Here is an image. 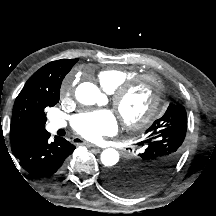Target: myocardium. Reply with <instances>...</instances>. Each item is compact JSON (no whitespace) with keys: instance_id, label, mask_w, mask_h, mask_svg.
<instances>
[{"instance_id":"myocardium-1","label":"myocardium","mask_w":216,"mask_h":216,"mask_svg":"<svg viewBox=\"0 0 216 216\" xmlns=\"http://www.w3.org/2000/svg\"><path fill=\"white\" fill-rule=\"evenodd\" d=\"M142 82H148L151 85L153 91L152 99L146 111L141 116L137 118H127L121 110L122 101L132 89ZM163 90L162 82L157 76L153 74H140L118 86L111 94V103L127 128L141 129L147 126L157 113L162 100Z\"/></svg>"}]
</instances>
